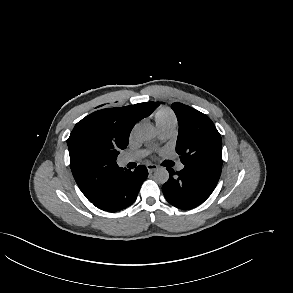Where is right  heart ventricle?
Segmentation results:
<instances>
[{"mask_svg":"<svg viewBox=\"0 0 293 293\" xmlns=\"http://www.w3.org/2000/svg\"><path fill=\"white\" fill-rule=\"evenodd\" d=\"M155 124L158 129L175 127L177 118L172 110L167 107H162L154 113Z\"/></svg>","mask_w":293,"mask_h":293,"instance_id":"e07e8e85","label":"right heart ventricle"}]
</instances>
